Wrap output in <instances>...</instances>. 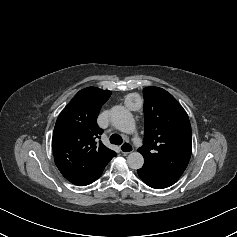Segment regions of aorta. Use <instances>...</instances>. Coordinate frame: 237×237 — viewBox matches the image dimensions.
I'll return each instance as SVG.
<instances>
[{
    "instance_id": "obj_1",
    "label": "aorta",
    "mask_w": 237,
    "mask_h": 237,
    "mask_svg": "<svg viewBox=\"0 0 237 237\" xmlns=\"http://www.w3.org/2000/svg\"><path fill=\"white\" fill-rule=\"evenodd\" d=\"M111 122L115 128L123 133H133L135 121L128 109L123 106H115L111 111ZM127 164L131 169H140L144 164V157L139 152H131L127 157Z\"/></svg>"
}]
</instances>
